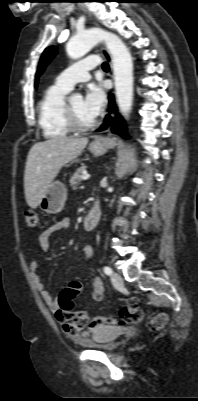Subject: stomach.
I'll return each mask as SVG.
<instances>
[{
	"label": "stomach",
	"instance_id": "stomach-1",
	"mask_svg": "<svg viewBox=\"0 0 198 401\" xmlns=\"http://www.w3.org/2000/svg\"><path fill=\"white\" fill-rule=\"evenodd\" d=\"M108 143L99 139L93 141L89 145V150L96 156L106 153ZM67 199V189L65 185L59 181L51 182L45 195L39 202V207L49 214H56L62 211Z\"/></svg>",
	"mask_w": 198,
	"mask_h": 401
}]
</instances>
